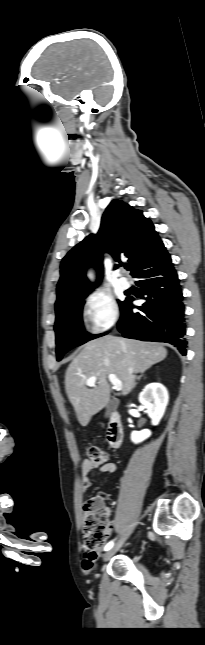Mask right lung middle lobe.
<instances>
[{
	"instance_id": "1",
	"label": "right lung middle lobe",
	"mask_w": 205,
	"mask_h": 645,
	"mask_svg": "<svg viewBox=\"0 0 205 645\" xmlns=\"http://www.w3.org/2000/svg\"><path fill=\"white\" fill-rule=\"evenodd\" d=\"M86 295L80 296L71 306L56 314L55 332H56V354L57 360L60 361L63 355L70 349L80 346L85 342L97 338L101 335H92L84 331L82 322V301ZM126 300L119 302L122 310Z\"/></svg>"
}]
</instances>
